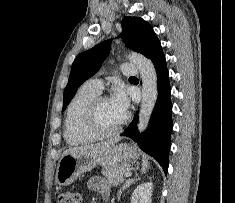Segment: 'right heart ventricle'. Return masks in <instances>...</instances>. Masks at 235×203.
<instances>
[{
    "mask_svg": "<svg viewBox=\"0 0 235 203\" xmlns=\"http://www.w3.org/2000/svg\"><path fill=\"white\" fill-rule=\"evenodd\" d=\"M99 94V91L85 83L69 103L64 124V138L69 145L86 144L97 139L87 129L85 116L88 105Z\"/></svg>",
    "mask_w": 235,
    "mask_h": 203,
    "instance_id": "obj_1",
    "label": "right heart ventricle"
}]
</instances>
